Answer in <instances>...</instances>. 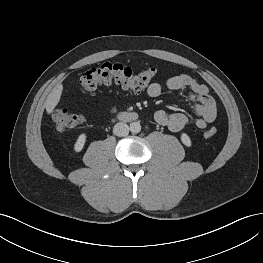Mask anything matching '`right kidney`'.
<instances>
[{
    "label": "right kidney",
    "mask_w": 263,
    "mask_h": 263,
    "mask_svg": "<svg viewBox=\"0 0 263 263\" xmlns=\"http://www.w3.org/2000/svg\"><path fill=\"white\" fill-rule=\"evenodd\" d=\"M85 142H86V134L82 133L78 136L74 144V150L76 152H80L83 149Z\"/></svg>",
    "instance_id": "1"
}]
</instances>
